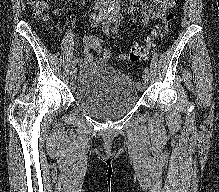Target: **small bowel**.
<instances>
[{"instance_id":"1","label":"small bowel","mask_w":219,"mask_h":192,"mask_svg":"<svg viewBox=\"0 0 219 192\" xmlns=\"http://www.w3.org/2000/svg\"><path fill=\"white\" fill-rule=\"evenodd\" d=\"M131 7L128 8L127 12L129 15H134L139 12L141 14L140 23L147 24L151 20L160 19L166 16L167 12L172 9L175 5V0H151L153 6H149L143 0H129ZM62 8L57 7L55 9V15L62 13ZM103 31L105 34L110 35L114 32L109 30L107 25H103ZM84 44L82 50L83 60L81 63L89 64L97 61H104L103 51L101 48L100 37H85L81 39ZM122 58H125L123 55Z\"/></svg>"}]
</instances>
